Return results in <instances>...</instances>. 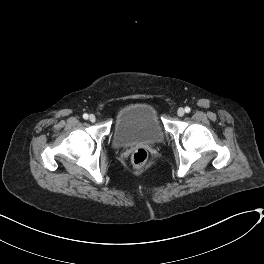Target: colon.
Segmentation results:
<instances>
[{
    "label": "colon",
    "instance_id": "1",
    "mask_svg": "<svg viewBox=\"0 0 264 264\" xmlns=\"http://www.w3.org/2000/svg\"><path fill=\"white\" fill-rule=\"evenodd\" d=\"M148 159V152L145 148H138L132 156L133 164L136 168H142Z\"/></svg>",
    "mask_w": 264,
    "mask_h": 264
}]
</instances>
